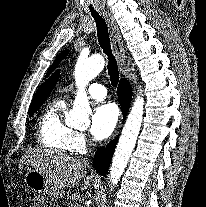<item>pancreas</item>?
Segmentation results:
<instances>
[{
  "label": "pancreas",
  "mask_w": 206,
  "mask_h": 207,
  "mask_svg": "<svg viewBox=\"0 0 206 207\" xmlns=\"http://www.w3.org/2000/svg\"><path fill=\"white\" fill-rule=\"evenodd\" d=\"M69 199H70V203L68 204L69 207H82V205H81L82 199H81V196L80 195H78L76 193L75 194H72L69 197Z\"/></svg>",
  "instance_id": "pancreas-1"
}]
</instances>
